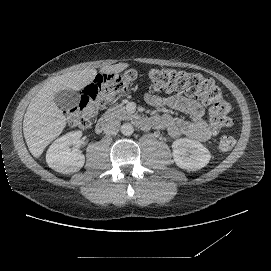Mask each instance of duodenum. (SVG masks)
I'll return each mask as SVG.
<instances>
[{
  "label": "duodenum",
  "instance_id": "1",
  "mask_svg": "<svg viewBox=\"0 0 271 271\" xmlns=\"http://www.w3.org/2000/svg\"><path fill=\"white\" fill-rule=\"evenodd\" d=\"M117 125L110 116H103L96 124L97 133L112 134L116 131Z\"/></svg>",
  "mask_w": 271,
  "mask_h": 271
}]
</instances>
